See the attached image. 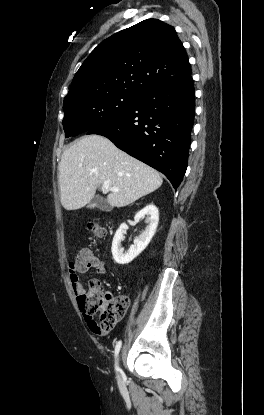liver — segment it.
I'll return each mask as SVG.
<instances>
[{
    "label": "liver",
    "instance_id": "6515ba94",
    "mask_svg": "<svg viewBox=\"0 0 264 415\" xmlns=\"http://www.w3.org/2000/svg\"><path fill=\"white\" fill-rule=\"evenodd\" d=\"M58 178L61 204L69 211L88 204L105 181L119 189L107 196L113 207H125L163 183L155 169L100 135H86L63 152Z\"/></svg>",
    "mask_w": 264,
    "mask_h": 415
}]
</instances>
